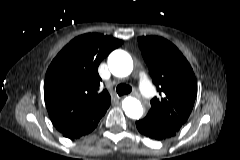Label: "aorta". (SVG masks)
Segmentation results:
<instances>
[{
  "mask_svg": "<svg viewBox=\"0 0 240 160\" xmlns=\"http://www.w3.org/2000/svg\"><path fill=\"white\" fill-rule=\"evenodd\" d=\"M108 67L116 77H127L133 70L131 56L123 50H115L108 57ZM125 114L132 119H140L143 115L141 102L134 97H126L122 101Z\"/></svg>",
  "mask_w": 240,
  "mask_h": 160,
  "instance_id": "762f6f07",
  "label": "aorta"
}]
</instances>
